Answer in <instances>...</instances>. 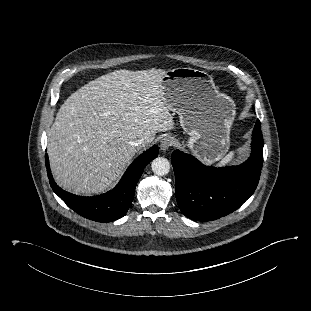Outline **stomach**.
Returning <instances> with one entry per match:
<instances>
[{"label": "stomach", "instance_id": "0dacf381", "mask_svg": "<svg viewBox=\"0 0 311 311\" xmlns=\"http://www.w3.org/2000/svg\"><path fill=\"white\" fill-rule=\"evenodd\" d=\"M162 88L167 106L190 135V151L208 164L220 160L230 146L234 101L218 91L212 76L192 68L166 71Z\"/></svg>", "mask_w": 311, "mask_h": 311}]
</instances>
